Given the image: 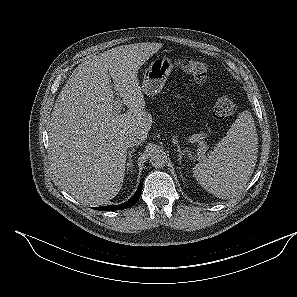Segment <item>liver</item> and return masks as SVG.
<instances>
[{
    "mask_svg": "<svg viewBox=\"0 0 297 297\" xmlns=\"http://www.w3.org/2000/svg\"><path fill=\"white\" fill-rule=\"evenodd\" d=\"M162 46L135 43L91 56L76 67L56 99L48 127L51 163L59 183L84 205L105 204L119 193L125 137L147 138L152 116L137 73ZM115 92L128 107L124 114L114 110Z\"/></svg>",
    "mask_w": 297,
    "mask_h": 297,
    "instance_id": "6515ba94",
    "label": "liver"
}]
</instances>
